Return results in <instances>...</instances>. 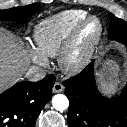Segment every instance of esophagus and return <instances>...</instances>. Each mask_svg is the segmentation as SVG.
Wrapping results in <instances>:
<instances>
[{"label":"esophagus","instance_id":"obj_1","mask_svg":"<svg viewBox=\"0 0 127 127\" xmlns=\"http://www.w3.org/2000/svg\"><path fill=\"white\" fill-rule=\"evenodd\" d=\"M64 90V86L60 82H56L53 86L54 93H60Z\"/></svg>","mask_w":127,"mask_h":127}]
</instances>
